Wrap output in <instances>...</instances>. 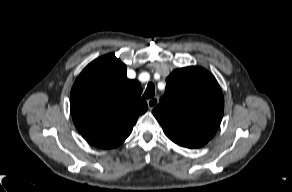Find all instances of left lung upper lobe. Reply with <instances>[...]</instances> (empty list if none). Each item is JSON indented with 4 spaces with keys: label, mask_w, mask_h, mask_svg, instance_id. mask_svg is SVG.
I'll list each match as a JSON object with an SVG mask.
<instances>
[{
    "label": "left lung upper lobe",
    "mask_w": 292,
    "mask_h": 192,
    "mask_svg": "<svg viewBox=\"0 0 292 192\" xmlns=\"http://www.w3.org/2000/svg\"><path fill=\"white\" fill-rule=\"evenodd\" d=\"M223 112V94L215 77L195 66L167 77L165 94L153 109L167 137L187 148L205 145L219 128Z\"/></svg>",
    "instance_id": "1"
}]
</instances>
